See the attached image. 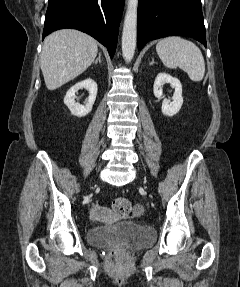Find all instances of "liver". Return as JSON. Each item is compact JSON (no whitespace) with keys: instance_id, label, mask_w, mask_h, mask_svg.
<instances>
[{"instance_id":"liver-1","label":"liver","mask_w":240,"mask_h":287,"mask_svg":"<svg viewBox=\"0 0 240 287\" xmlns=\"http://www.w3.org/2000/svg\"><path fill=\"white\" fill-rule=\"evenodd\" d=\"M97 41L73 29H62L46 37L40 67L48 90H55L82 74L97 56Z\"/></svg>"}]
</instances>
